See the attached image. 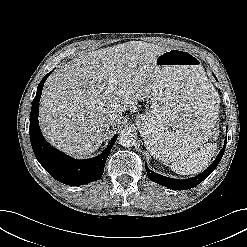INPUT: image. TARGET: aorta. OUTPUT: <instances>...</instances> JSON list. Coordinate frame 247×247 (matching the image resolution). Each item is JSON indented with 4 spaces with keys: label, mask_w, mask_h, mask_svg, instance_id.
<instances>
[{
    "label": "aorta",
    "mask_w": 247,
    "mask_h": 247,
    "mask_svg": "<svg viewBox=\"0 0 247 247\" xmlns=\"http://www.w3.org/2000/svg\"><path fill=\"white\" fill-rule=\"evenodd\" d=\"M135 134L131 130H122L119 134V144L125 147L132 146L135 143Z\"/></svg>",
    "instance_id": "aorta-1"
}]
</instances>
